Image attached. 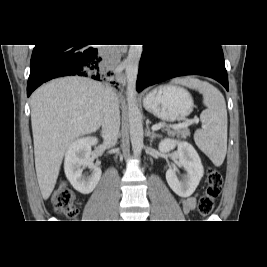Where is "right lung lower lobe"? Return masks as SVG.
<instances>
[{
  "mask_svg": "<svg viewBox=\"0 0 267 267\" xmlns=\"http://www.w3.org/2000/svg\"><path fill=\"white\" fill-rule=\"evenodd\" d=\"M68 75L103 81L110 76V71H107L100 52L90 45H35L27 96L44 82Z\"/></svg>",
  "mask_w": 267,
  "mask_h": 267,
  "instance_id": "obj_1",
  "label": "right lung lower lobe"
}]
</instances>
